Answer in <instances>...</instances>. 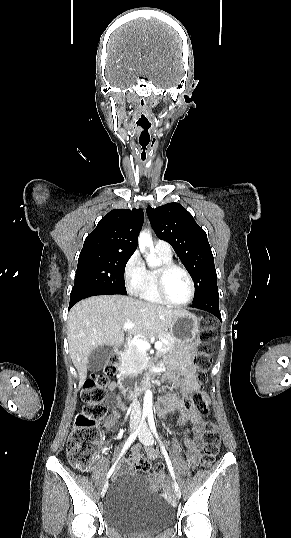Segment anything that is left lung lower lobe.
Wrapping results in <instances>:
<instances>
[{"mask_svg":"<svg viewBox=\"0 0 291 538\" xmlns=\"http://www.w3.org/2000/svg\"><path fill=\"white\" fill-rule=\"evenodd\" d=\"M194 308L202 309L207 312L212 313L221 320V314L219 311V294H213L206 297L204 300L193 303L191 305Z\"/></svg>","mask_w":291,"mask_h":538,"instance_id":"1","label":"left lung lower lobe"}]
</instances>
